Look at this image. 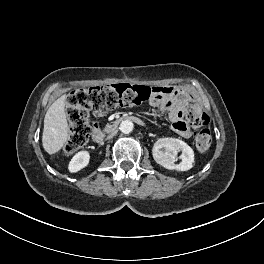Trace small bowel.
I'll list each match as a JSON object with an SVG mask.
<instances>
[{
    "label": "small bowel",
    "mask_w": 264,
    "mask_h": 264,
    "mask_svg": "<svg viewBox=\"0 0 264 264\" xmlns=\"http://www.w3.org/2000/svg\"><path fill=\"white\" fill-rule=\"evenodd\" d=\"M155 93L149 99V104L161 111L166 112L172 122L173 130L184 138L192 135V130L183 120V113L188 100V92L179 87L163 86L154 87ZM104 112H94V116L101 117Z\"/></svg>",
    "instance_id": "1"
}]
</instances>
